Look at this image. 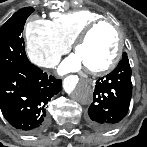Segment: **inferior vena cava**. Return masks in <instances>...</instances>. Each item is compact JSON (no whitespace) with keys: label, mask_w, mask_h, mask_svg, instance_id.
Wrapping results in <instances>:
<instances>
[{"label":"inferior vena cava","mask_w":147,"mask_h":147,"mask_svg":"<svg viewBox=\"0 0 147 147\" xmlns=\"http://www.w3.org/2000/svg\"><path fill=\"white\" fill-rule=\"evenodd\" d=\"M57 64V62H52V63H45L44 66L45 67H54Z\"/></svg>","instance_id":"inferior-vena-cava-1"}]
</instances>
